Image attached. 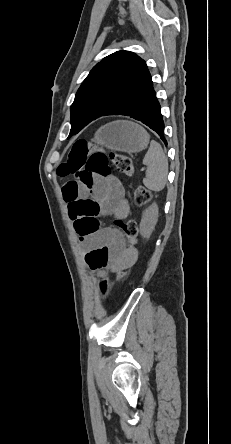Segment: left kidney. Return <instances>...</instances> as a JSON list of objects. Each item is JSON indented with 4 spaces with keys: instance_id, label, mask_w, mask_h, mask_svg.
<instances>
[{
    "instance_id": "5707ae66",
    "label": "left kidney",
    "mask_w": 231,
    "mask_h": 444,
    "mask_svg": "<svg viewBox=\"0 0 231 444\" xmlns=\"http://www.w3.org/2000/svg\"><path fill=\"white\" fill-rule=\"evenodd\" d=\"M158 221V206L153 203L142 215L140 222V234L144 238H149Z\"/></svg>"
}]
</instances>
